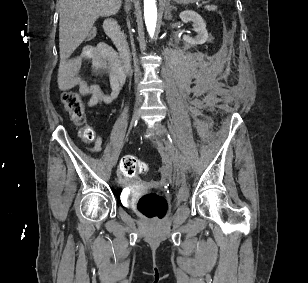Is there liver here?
I'll use <instances>...</instances> for the list:
<instances>
[{
  "label": "liver",
  "mask_w": 308,
  "mask_h": 283,
  "mask_svg": "<svg viewBox=\"0 0 308 283\" xmlns=\"http://www.w3.org/2000/svg\"><path fill=\"white\" fill-rule=\"evenodd\" d=\"M122 0H59L60 58L66 60L101 16L118 12Z\"/></svg>",
  "instance_id": "liver-1"
}]
</instances>
